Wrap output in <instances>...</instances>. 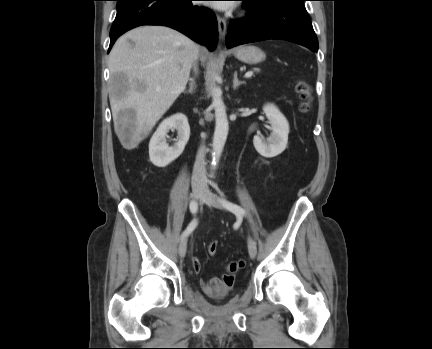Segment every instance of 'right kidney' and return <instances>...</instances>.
<instances>
[{"label": "right kidney", "instance_id": "right-kidney-1", "mask_svg": "<svg viewBox=\"0 0 432 349\" xmlns=\"http://www.w3.org/2000/svg\"><path fill=\"white\" fill-rule=\"evenodd\" d=\"M170 129H176L177 142L169 147L166 135ZM190 137V126L184 114H175L161 122L149 143L150 161L157 167H165L176 160L184 151Z\"/></svg>", "mask_w": 432, "mask_h": 349}]
</instances>
